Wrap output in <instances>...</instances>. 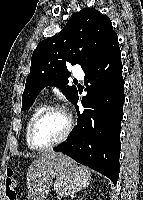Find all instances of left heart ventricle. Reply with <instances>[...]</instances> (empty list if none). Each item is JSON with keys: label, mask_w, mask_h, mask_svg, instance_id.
I'll use <instances>...</instances> for the list:
<instances>
[{"label": "left heart ventricle", "mask_w": 143, "mask_h": 200, "mask_svg": "<svg viewBox=\"0 0 143 200\" xmlns=\"http://www.w3.org/2000/svg\"><path fill=\"white\" fill-rule=\"evenodd\" d=\"M68 119L61 111L47 114L35 129V140L40 145H47L58 140L65 132Z\"/></svg>", "instance_id": "left-heart-ventricle-1"}]
</instances>
